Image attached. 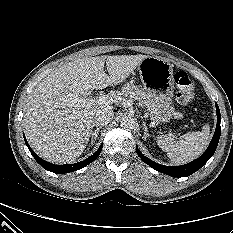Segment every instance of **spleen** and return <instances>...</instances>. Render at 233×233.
Returning <instances> with one entry per match:
<instances>
[{
  "label": "spleen",
  "mask_w": 233,
  "mask_h": 233,
  "mask_svg": "<svg viewBox=\"0 0 233 233\" xmlns=\"http://www.w3.org/2000/svg\"><path fill=\"white\" fill-rule=\"evenodd\" d=\"M210 127L203 126L201 132H188L178 140L166 135L157 137V144L167 152L168 157L174 163H187L197 158L206 148L209 142Z\"/></svg>",
  "instance_id": "obj_1"
}]
</instances>
